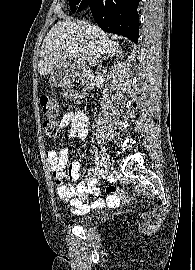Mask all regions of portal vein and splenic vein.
Wrapping results in <instances>:
<instances>
[{
  "label": "portal vein and splenic vein",
  "instance_id": "1",
  "mask_svg": "<svg viewBox=\"0 0 195 270\" xmlns=\"http://www.w3.org/2000/svg\"><path fill=\"white\" fill-rule=\"evenodd\" d=\"M70 53H71V55L73 57H77L78 56V51L77 50L72 49V50H70Z\"/></svg>",
  "mask_w": 195,
  "mask_h": 270
}]
</instances>
